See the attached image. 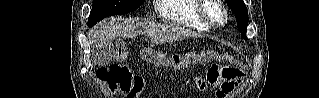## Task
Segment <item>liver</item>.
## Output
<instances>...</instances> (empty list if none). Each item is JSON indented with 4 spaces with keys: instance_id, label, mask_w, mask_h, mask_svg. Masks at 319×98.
<instances>
[{
    "instance_id": "1",
    "label": "liver",
    "mask_w": 319,
    "mask_h": 98,
    "mask_svg": "<svg viewBox=\"0 0 319 98\" xmlns=\"http://www.w3.org/2000/svg\"><path fill=\"white\" fill-rule=\"evenodd\" d=\"M143 34L149 36L152 43L160 44L183 40L199 35L175 25L156 24L151 22H119L110 20L105 24L96 26L93 30L91 43L94 47L103 43H109L118 37L135 38Z\"/></svg>"
}]
</instances>
